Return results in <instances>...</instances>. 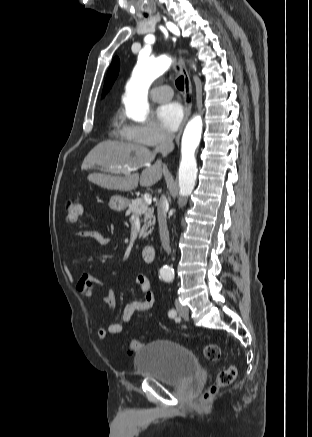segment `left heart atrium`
Segmentation results:
<instances>
[{
  "label": "left heart atrium",
  "instance_id": "obj_1",
  "mask_svg": "<svg viewBox=\"0 0 312 437\" xmlns=\"http://www.w3.org/2000/svg\"><path fill=\"white\" fill-rule=\"evenodd\" d=\"M157 118L164 129L174 132L183 119L182 107L176 102L164 104L157 110Z\"/></svg>",
  "mask_w": 312,
  "mask_h": 437
}]
</instances>
